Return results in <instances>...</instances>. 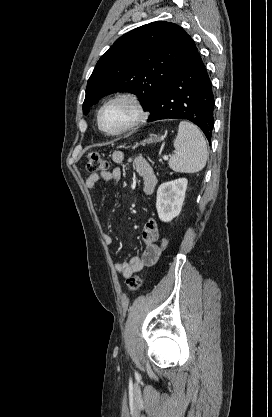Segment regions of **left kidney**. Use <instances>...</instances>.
<instances>
[{"label": "left kidney", "instance_id": "1", "mask_svg": "<svg viewBox=\"0 0 272 417\" xmlns=\"http://www.w3.org/2000/svg\"><path fill=\"white\" fill-rule=\"evenodd\" d=\"M188 180L179 178L162 183L157 190L156 209L163 222H170L177 217L185 199Z\"/></svg>", "mask_w": 272, "mask_h": 417}]
</instances>
